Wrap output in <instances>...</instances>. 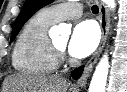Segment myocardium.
<instances>
[{"mask_svg": "<svg viewBox=\"0 0 127 92\" xmlns=\"http://www.w3.org/2000/svg\"><path fill=\"white\" fill-rule=\"evenodd\" d=\"M51 48L57 59L64 56V49L58 47L53 41H51Z\"/></svg>", "mask_w": 127, "mask_h": 92, "instance_id": "obj_1", "label": "myocardium"}]
</instances>
